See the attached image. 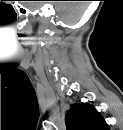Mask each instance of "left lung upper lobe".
Wrapping results in <instances>:
<instances>
[{
	"label": "left lung upper lobe",
	"mask_w": 123,
	"mask_h": 130,
	"mask_svg": "<svg viewBox=\"0 0 123 130\" xmlns=\"http://www.w3.org/2000/svg\"><path fill=\"white\" fill-rule=\"evenodd\" d=\"M67 130H108L109 127L100 113L87 103L70 106L65 116Z\"/></svg>",
	"instance_id": "obj_1"
}]
</instances>
